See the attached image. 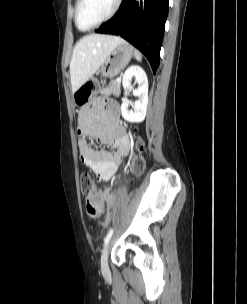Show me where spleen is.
<instances>
[{"mask_svg":"<svg viewBox=\"0 0 247 304\" xmlns=\"http://www.w3.org/2000/svg\"><path fill=\"white\" fill-rule=\"evenodd\" d=\"M134 56H135V59L137 61H141L142 60V55H141V53H139V51L134 50Z\"/></svg>","mask_w":247,"mask_h":304,"instance_id":"obj_1","label":"spleen"}]
</instances>
